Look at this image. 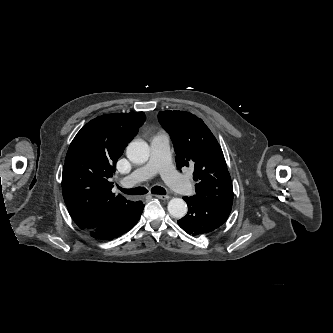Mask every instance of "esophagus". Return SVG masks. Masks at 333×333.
Listing matches in <instances>:
<instances>
[{"label":"esophagus","instance_id":"esophagus-1","mask_svg":"<svg viewBox=\"0 0 333 333\" xmlns=\"http://www.w3.org/2000/svg\"><path fill=\"white\" fill-rule=\"evenodd\" d=\"M156 198H158V199H161V200H168V199H170V196L169 195H159V194H157V195H154Z\"/></svg>","mask_w":333,"mask_h":333}]
</instances>
